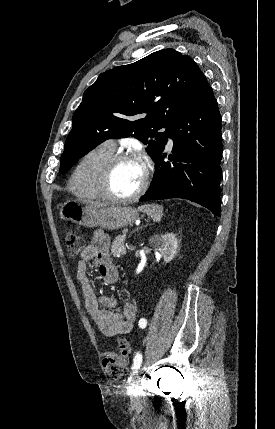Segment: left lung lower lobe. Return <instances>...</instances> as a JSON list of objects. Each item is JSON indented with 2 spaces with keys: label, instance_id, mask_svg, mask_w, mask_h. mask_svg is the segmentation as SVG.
Instances as JSON below:
<instances>
[{
  "label": "left lung lower lobe",
  "instance_id": "left-lung-lower-lobe-1",
  "mask_svg": "<svg viewBox=\"0 0 275 429\" xmlns=\"http://www.w3.org/2000/svg\"><path fill=\"white\" fill-rule=\"evenodd\" d=\"M173 156L164 147L153 159L156 172L140 201L183 198L220 216L221 115L211 86L200 74L193 95L173 125ZM197 140L205 146L200 147ZM168 141V140H167ZM166 144V143H165Z\"/></svg>",
  "mask_w": 275,
  "mask_h": 429
}]
</instances>
